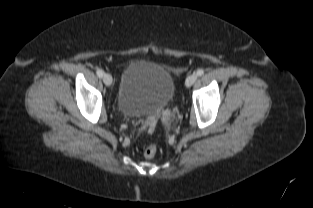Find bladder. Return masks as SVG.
Returning a JSON list of instances; mask_svg holds the SVG:
<instances>
[{
  "label": "bladder",
  "instance_id": "31cf9c89",
  "mask_svg": "<svg viewBox=\"0 0 313 208\" xmlns=\"http://www.w3.org/2000/svg\"><path fill=\"white\" fill-rule=\"evenodd\" d=\"M174 91V80L163 67L133 61L123 70L116 106L130 117L157 116L169 105Z\"/></svg>",
  "mask_w": 313,
  "mask_h": 208
}]
</instances>
